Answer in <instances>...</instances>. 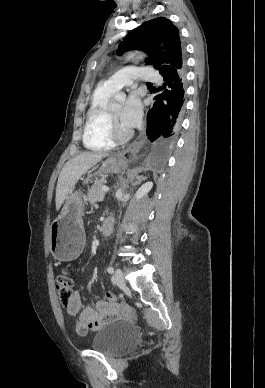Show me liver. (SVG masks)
Listing matches in <instances>:
<instances>
[{"instance_id": "1", "label": "liver", "mask_w": 265, "mask_h": 388, "mask_svg": "<svg viewBox=\"0 0 265 388\" xmlns=\"http://www.w3.org/2000/svg\"><path fill=\"white\" fill-rule=\"evenodd\" d=\"M106 152H83L75 158L68 160L60 172L56 188V210H60L64 200H67L68 194L72 192L75 184L81 176L88 172L90 168L96 166L103 158H107Z\"/></svg>"}]
</instances>
